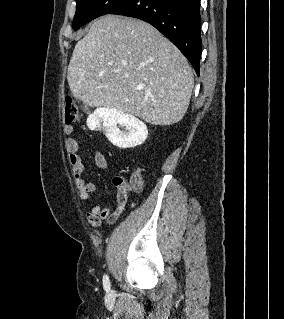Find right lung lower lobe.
I'll return each instance as SVG.
<instances>
[{
	"instance_id": "1",
	"label": "right lung lower lobe",
	"mask_w": 284,
	"mask_h": 319,
	"mask_svg": "<svg viewBox=\"0 0 284 319\" xmlns=\"http://www.w3.org/2000/svg\"><path fill=\"white\" fill-rule=\"evenodd\" d=\"M110 14L135 17L153 25L178 47L199 75L200 0H130Z\"/></svg>"
}]
</instances>
